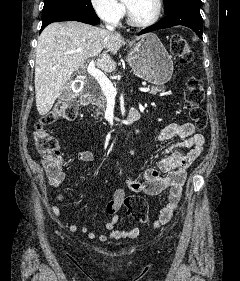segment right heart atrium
<instances>
[{
  "label": "right heart atrium",
  "instance_id": "obj_1",
  "mask_svg": "<svg viewBox=\"0 0 240 281\" xmlns=\"http://www.w3.org/2000/svg\"><path fill=\"white\" fill-rule=\"evenodd\" d=\"M95 14L108 24H117L125 13V7L120 0H90Z\"/></svg>",
  "mask_w": 240,
  "mask_h": 281
}]
</instances>
